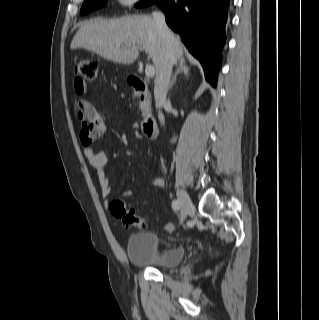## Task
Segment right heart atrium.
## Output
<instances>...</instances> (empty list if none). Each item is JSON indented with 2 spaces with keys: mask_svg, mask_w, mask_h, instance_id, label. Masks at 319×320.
I'll return each instance as SVG.
<instances>
[{
  "mask_svg": "<svg viewBox=\"0 0 319 320\" xmlns=\"http://www.w3.org/2000/svg\"><path fill=\"white\" fill-rule=\"evenodd\" d=\"M122 7H130L138 3L140 0H116Z\"/></svg>",
  "mask_w": 319,
  "mask_h": 320,
  "instance_id": "d8ad5b80",
  "label": "right heart atrium"
}]
</instances>
